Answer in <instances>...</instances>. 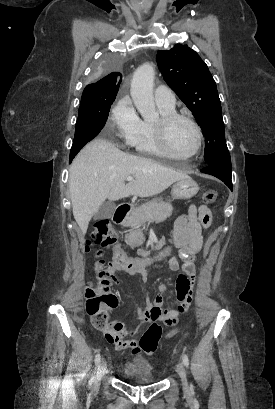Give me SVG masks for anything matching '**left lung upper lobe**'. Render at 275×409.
I'll list each match as a JSON object with an SVG mask.
<instances>
[{
	"instance_id": "obj_1",
	"label": "left lung upper lobe",
	"mask_w": 275,
	"mask_h": 409,
	"mask_svg": "<svg viewBox=\"0 0 275 409\" xmlns=\"http://www.w3.org/2000/svg\"><path fill=\"white\" fill-rule=\"evenodd\" d=\"M156 60L164 80L191 110L206 137L207 165L222 163L231 168L220 99L205 62L194 50L181 44L158 51Z\"/></svg>"
}]
</instances>
